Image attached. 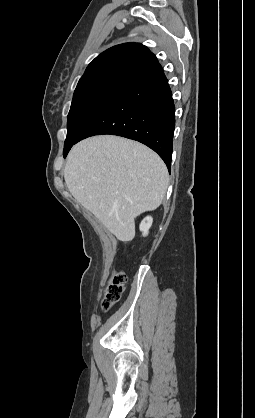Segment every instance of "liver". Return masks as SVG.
I'll return each instance as SVG.
<instances>
[{
  "instance_id": "liver-1",
  "label": "liver",
  "mask_w": 255,
  "mask_h": 418,
  "mask_svg": "<svg viewBox=\"0 0 255 418\" xmlns=\"http://www.w3.org/2000/svg\"><path fill=\"white\" fill-rule=\"evenodd\" d=\"M73 197L123 242L135 236V218L155 210L168 187L162 159L145 145L112 135L85 139L64 169Z\"/></svg>"
}]
</instances>
